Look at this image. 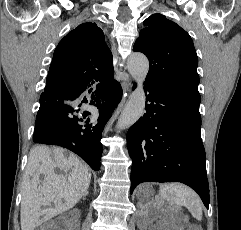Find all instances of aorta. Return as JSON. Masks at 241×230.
I'll return each mask as SVG.
<instances>
[{
  "label": "aorta",
  "mask_w": 241,
  "mask_h": 230,
  "mask_svg": "<svg viewBox=\"0 0 241 230\" xmlns=\"http://www.w3.org/2000/svg\"><path fill=\"white\" fill-rule=\"evenodd\" d=\"M127 68L137 84L130 95L129 101L118 119V128L126 129L132 126L143 114L145 108L144 82L149 70V61L141 53L132 54L127 61Z\"/></svg>",
  "instance_id": "762f6f07"
}]
</instances>
